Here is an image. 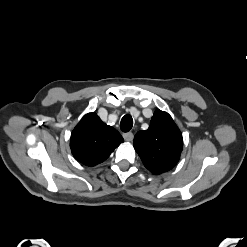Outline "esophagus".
<instances>
[{"instance_id":"esophagus-1","label":"esophagus","mask_w":247,"mask_h":247,"mask_svg":"<svg viewBox=\"0 0 247 247\" xmlns=\"http://www.w3.org/2000/svg\"><path fill=\"white\" fill-rule=\"evenodd\" d=\"M123 138H124L126 141L131 142V141H133L134 135H133V133H131V132L124 133V134H123Z\"/></svg>"}]
</instances>
